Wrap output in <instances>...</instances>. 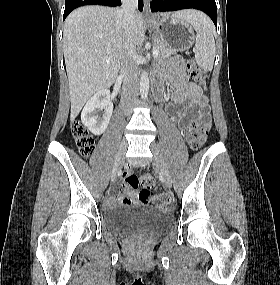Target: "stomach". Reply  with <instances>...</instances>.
<instances>
[{
    "mask_svg": "<svg viewBox=\"0 0 280 285\" xmlns=\"http://www.w3.org/2000/svg\"><path fill=\"white\" fill-rule=\"evenodd\" d=\"M149 27L158 39L176 50L188 49L195 40L191 24L176 15L154 19L149 22Z\"/></svg>",
    "mask_w": 280,
    "mask_h": 285,
    "instance_id": "0dacf381",
    "label": "stomach"
}]
</instances>
